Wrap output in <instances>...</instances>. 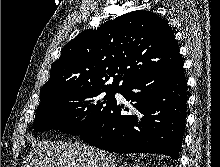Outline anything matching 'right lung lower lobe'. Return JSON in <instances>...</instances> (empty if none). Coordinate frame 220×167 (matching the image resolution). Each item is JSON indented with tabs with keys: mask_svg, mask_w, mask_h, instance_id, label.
Returning a JSON list of instances; mask_svg holds the SVG:
<instances>
[{
	"mask_svg": "<svg viewBox=\"0 0 220 167\" xmlns=\"http://www.w3.org/2000/svg\"><path fill=\"white\" fill-rule=\"evenodd\" d=\"M131 106L116 100L80 138L115 153H159L179 158L186 119L187 85L182 64L133 80L118 90Z\"/></svg>",
	"mask_w": 220,
	"mask_h": 167,
	"instance_id": "98d812e1",
	"label": "right lung lower lobe"
}]
</instances>
